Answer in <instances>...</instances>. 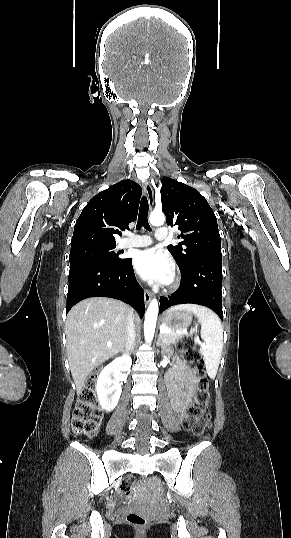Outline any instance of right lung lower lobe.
Here are the masks:
<instances>
[{"label":"right lung lower lobe","mask_w":291,"mask_h":538,"mask_svg":"<svg viewBox=\"0 0 291 538\" xmlns=\"http://www.w3.org/2000/svg\"><path fill=\"white\" fill-rule=\"evenodd\" d=\"M89 297H110L145 312L143 289L137 283L132 259L116 264L93 262L70 266L66 313Z\"/></svg>","instance_id":"1"}]
</instances>
